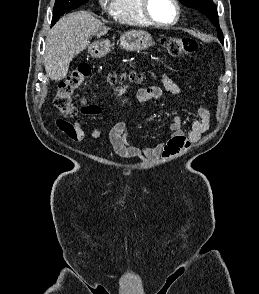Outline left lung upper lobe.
<instances>
[{"label": "left lung upper lobe", "mask_w": 259, "mask_h": 294, "mask_svg": "<svg viewBox=\"0 0 259 294\" xmlns=\"http://www.w3.org/2000/svg\"><path fill=\"white\" fill-rule=\"evenodd\" d=\"M183 5L194 8L198 10L199 12L206 15L211 23L216 27L218 31V38L221 41V43H224L223 33L219 26L218 21V14H217V8L216 5L212 0H179Z\"/></svg>", "instance_id": "obj_1"}]
</instances>
